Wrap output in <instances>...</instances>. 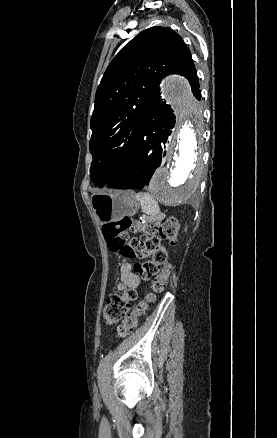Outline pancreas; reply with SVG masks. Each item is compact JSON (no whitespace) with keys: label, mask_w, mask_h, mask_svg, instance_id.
Listing matches in <instances>:
<instances>
[{"label":"pancreas","mask_w":277,"mask_h":438,"mask_svg":"<svg viewBox=\"0 0 277 438\" xmlns=\"http://www.w3.org/2000/svg\"><path fill=\"white\" fill-rule=\"evenodd\" d=\"M145 219L147 223H157L159 218L157 214H147Z\"/></svg>","instance_id":"pancreas-1"}]
</instances>
